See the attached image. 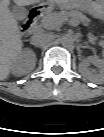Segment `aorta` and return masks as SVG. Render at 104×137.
Returning <instances> with one entry per match:
<instances>
[{
  "label": "aorta",
  "instance_id": "1",
  "mask_svg": "<svg viewBox=\"0 0 104 137\" xmlns=\"http://www.w3.org/2000/svg\"><path fill=\"white\" fill-rule=\"evenodd\" d=\"M60 43L65 48L73 47L74 46V38L69 35H65L60 38Z\"/></svg>",
  "mask_w": 104,
  "mask_h": 137
}]
</instances>
